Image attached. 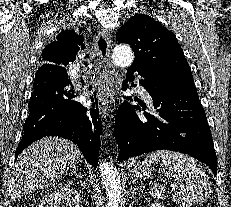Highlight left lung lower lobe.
Returning a JSON list of instances; mask_svg holds the SVG:
<instances>
[{
	"instance_id": "left-lung-lower-lobe-1",
	"label": "left lung lower lobe",
	"mask_w": 231,
	"mask_h": 207,
	"mask_svg": "<svg viewBox=\"0 0 231 207\" xmlns=\"http://www.w3.org/2000/svg\"><path fill=\"white\" fill-rule=\"evenodd\" d=\"M141 76L139 81L153 99L155 114L140 111L129 103L120 105L115 122V139L120 154L118 160L168 149L191 155L210 167L217 174V157L204 109L194 85L169 89V79L148 69L132 68L127 80L133 81V73ZM127 88V85L123 87ZM127 100H132L131 97Z\"/></svg>"
}]
</instances>
